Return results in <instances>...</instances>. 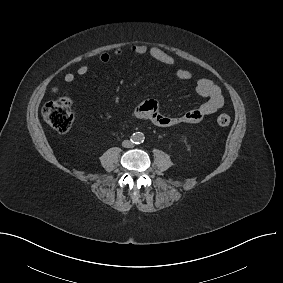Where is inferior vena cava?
<instances>
[{"label":"inferior vena cava","instance_id":"602c4592","mask_svg":"<svg viewBox=\"0 0 283 283\" xmlns=\"http://www.w3.org/2000/svg\"><path fill=\"white\" fill-rule=\"evenodd\" d=\"M132 145H133V144H132L131 142H127V141H124V142H123V146H124V147H128V148H129V147H131Z\"/></svg>","mask_w":283,"mask_h":283}]
</instances>
